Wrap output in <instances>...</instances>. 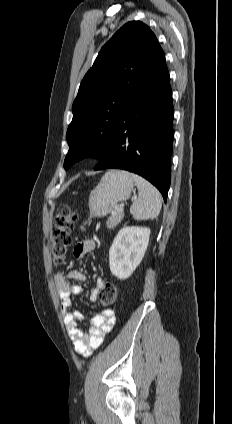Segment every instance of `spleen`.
<instances>
[{
  "label": "spleen",
  "instance_id": "obj_1",
  "mask_svg": "<svg viewBox=\"0 0 232 424\" xmlns=\"http://www.w3.org/2000/svg\"><path fill=\"white\" fill-rule=\"evenodd\" d=\"M131 177L139 191L138 199L130 207L132 217L136 220L156 219L162 206L160 192L143 177L134 173Z\"/></svg>",
  "mask_w": 232,
  "mask_h": 424
}]
</instances>
